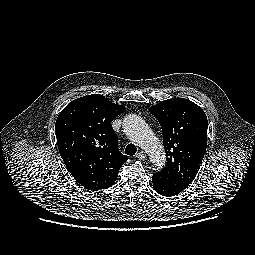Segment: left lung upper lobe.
Listing matches in <instances>:
<instances>
[{
    "label": "left lung upper lobe",
    "instance_id": "left-lung-upper-lobe-1",
    "mask_svg": "<svg viewBox=\"0 0 255 255\" xmlns=\"http://www.w3.org/2000/svg\"><path fill=\"white\" fill-rule=\"evenodd\" d=\"M150 112L161 125L167 160L157 174L186 189L198 173L206 151V114L197 104L183 98L162 101Z\"/></svg>",
    "mask_w": 255,
    "mask_h": 255
}]
</instances>
